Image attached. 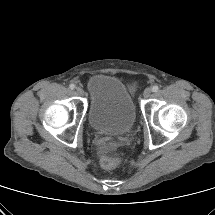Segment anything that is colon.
Segmentation results:
<instances>
[{
  "label": "colon",
  "mask_w": 215,
  "mask_h": 215,
  "mask_svg": "<svg viewBox=\"0 0 215 215\" xmlns=\"http://www.w3.org/2000/svg\"><path fill=\"white\" fill-rule=\"evenodd\" d=\"M120 161L118 156L105 154L101 157L100 163L104 169L112 170L119 165Z\"/></svg>",
  "instance_id": "1"
}]
</instances>
